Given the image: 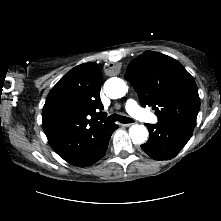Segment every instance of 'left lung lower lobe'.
<instances>
[{
    "label": "left lung lower lobe",
    "instance_id": "left-lung-lower-lobe-1",
    "mask_svg": "<svg viewBox=\"0 0 221 221\" xmlns=\"http://www.w3.org/2000/svg\"><path fill=\"white\" fill-rule=\"evenodd\" d=\"M150 136L141 145L151 158L169 160L175 157L191 138L195 125L193 124H146Z\"/></svg>",
    "mask_w": 221,
    "mask_h": 221
}]
</instances>
